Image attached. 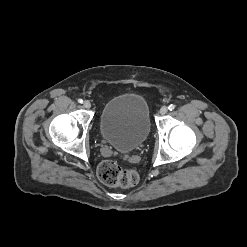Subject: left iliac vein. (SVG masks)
Segmentation results:
<instances>
[{
  "label": "left iliac vein",
  "mask_w": 247,
  "mask_h": 247,
  "mask_svg": "<svg viewBox=\"0 0 247 247\" xmlns=\"http://www.w3.org/2000/svg\"><path fill=\"white\" fill-rule=\"evenodd\" d=\"M168 112V108L166 106H162L160 109V114L165 115Z\"/></svg>",
  "instance_id": "4c4485c4"
}]
</instances>
